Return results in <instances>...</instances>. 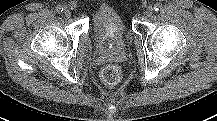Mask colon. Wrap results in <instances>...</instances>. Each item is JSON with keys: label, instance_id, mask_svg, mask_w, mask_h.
<instances>
[{"label": "colon", "instance_id": "colon-1", "mask_svg": "<svg viewBox=\"0 0 217 121\" xmlns=\"http://www.w3.org/2000/svg\"><path fill=\"white\" fill-rule=\"evenodd\" d=\"M123 77V69L118 64H108L101 70V80L109 86L118 84Z\"/></svg>", "mask_w": 217, "mask_h": 121}]
</instances>
